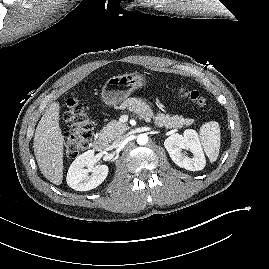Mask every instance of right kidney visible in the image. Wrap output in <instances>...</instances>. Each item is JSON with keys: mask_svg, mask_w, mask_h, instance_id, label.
Instances as JSON below:
<instances>
[{"mask_svg": "<svg viewBox=\"0 0 269 269\" xmlns=\"http://www.w3.org/2000/svg\"><path fill=\"white\" fill-rule=\"evenodd\" d=\"M93 165V150L79 155L69 167L66 177L68 186L77 191H88L99 186L106 179L109 168L106 165Z\"/></svg>", "mask_w": 269, "mask_h": 269, "instance_id": "ca27d5eb", "label": "right kidney"}]
</instances>
